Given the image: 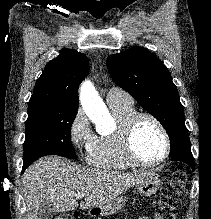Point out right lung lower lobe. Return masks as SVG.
I'll list each match as a JSON object with an SVG mask.
<instances>
[{
    "instance_id": "obj_1",
    "label": "right lung lower lobe",
    "mask_w": 211,
    "mask_h": 219,
    "mask_svg": "<svg viewBox=\"0 0 211 219\" xmlns=\"http://www.w3.org/2000/svg\"><path fill=\"white\" fill-rule=\"evenodd\" d=\"M29 165H30L29 163L23 164L22 173L28 168Z\"/></svg>"
}]
</instances>
